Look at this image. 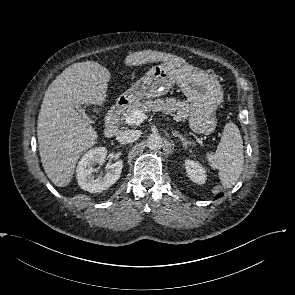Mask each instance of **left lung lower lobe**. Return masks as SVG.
Returning <instances> with one entry per match:
<instances>
[{
  "label": "left lung lower lobe",
  "mask_w": 295,
  "mask_h": 295,
  "mask_svg": "<svg viewBox=\"0 0 295 295\" xmlns=\"http://www.w3.org/2000/svg\"><path fill=\"white\" fill-rule=\"evenodd\" d=\"M223 196V193H219L217 196H216V199L219 198V197H222Z\"/></svg>",
  "instance_id": "left-lung-lower-lobe-1"
}]
</instances>
